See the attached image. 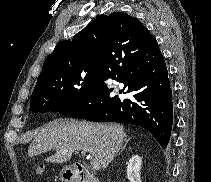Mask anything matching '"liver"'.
I'll use <instances>...</instances> for the list:
<instances>
[{"mask_svg":"<svg viewBox=\"0 0 211 182\" xmlns=\"http://www.w3.org/2000/svg\"><path fill=\"white\" fill-rule=\"evenodd\" d=\"M125 136L123 126L118 124L56 119L40 130L28 148V155L55 150L47 161L65 163L74 151L82 150L92 154L105 169L121 149Z\"/></svg>","mask_w":211,"mask_h":182,"instance_id":"1","label":"liver"}]
</instances>
